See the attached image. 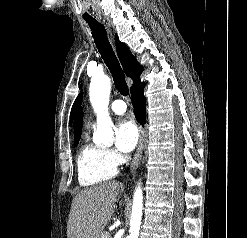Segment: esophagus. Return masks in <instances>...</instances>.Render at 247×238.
Segmentation results:
<instances>
[{
	"label": "esophagus",
	"mask_w": 247,
	"mask_h": 238,
	"mask_svg": "<svg viewBox=\"0 0 247 238\" xmlns=\"http://www.w3.org/2000/svg\"><path fill=\"white\" fill-rule=\"evenodd\" d=\"M139 143L136 150V153L133 157L131 166H130V174L133 175L140 163L142 152H143V146H144V129L140 126L139 128Z\"/></svg>",
	"instance_id": "34e87169"
}]
</instances>
